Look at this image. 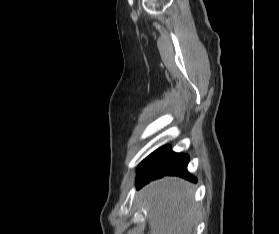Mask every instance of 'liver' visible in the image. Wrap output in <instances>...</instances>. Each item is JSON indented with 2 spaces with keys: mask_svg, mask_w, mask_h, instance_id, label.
<instances>
[{
  "mask_svg": "<svg viewBox=\"0 0 279 234\" xmlns=\"http://www.w3.org/2000/svg\"><path fill=\"white\" fill-rule=\"evenodd\" d=\"M189 184L176 177L151 182L139 193L148 209V234H192L197 209Z\"/></svg>",
  "mask_w": 279,
  "mask_h": 234,
  "instance_id": "obj_1",
  "label": "liver"
}]
</instances>
